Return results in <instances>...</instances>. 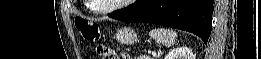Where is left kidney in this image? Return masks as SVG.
Here are the masks:
<instances>
[{
    "instance_id": "1",
    "label": "left kidney",
    "mask_w": 261,
    "mask_h": 59,
    "mask_svg": "<svg viewBox=\"0 0 261 59\" xmlns=\"http://www.w3.org/2000/svg\"><path fill=\"white\" fill-rule=\"evenodd\" d=\"M193 52L188 47L175 48L171 50L164 59H194Z\"/></svg>"
}]
</instances>
